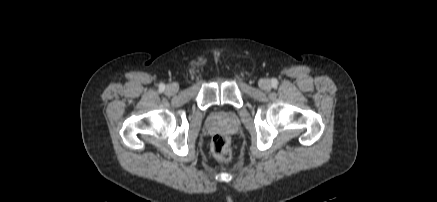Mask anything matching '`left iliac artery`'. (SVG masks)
<instances>
[{
    "mask_svg": "<svg viewBox=\"0 0 437 202\" xmlns=\"http://www.w3.org/2000/svg\"><path fill=\"white\" fill-rule=\"evenodd\" d=\"M276 84H277V80H276V79H273V80H272V85L275 86Z\"/></svg>",
    "mask_w": 437,
    "mask_h": 202,
    "instance_id": "obj_1",
    "label": "left iliac artery"
}]
</instances>
